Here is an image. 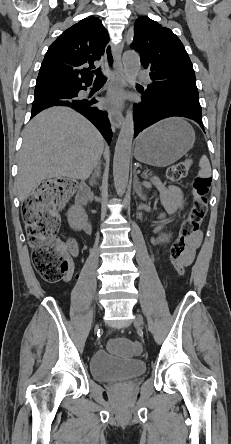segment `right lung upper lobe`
<instances>
[{
	"mask_svg": "<svg viewBox=\"0 0 231 444\" xmlns=\"http://www.w3.org/2000/svg\"><path fill=\"white\" fill-rule=\"evenodd\" d=\"M108 41V33L97 17L85 18L68 28L48 48L35 93L91 81L89 70L103 55Z\"/></svg>",
	"mask_w": 231,
	"mask_h": 444,
	"instance_id": "cb5924a9",
	"label": "right lung upper lobe"
}]
</instances>
